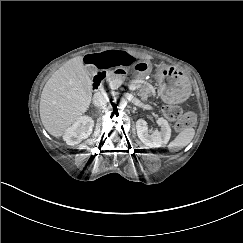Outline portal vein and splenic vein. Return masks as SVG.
Returning a JSON list of instances; mask_svg holds the SVG:
<instances>
[{"label":"portal vein and splenic vein","instance_id":"obj_1","mask_svg":"<svg viewBox=\"0 0 243 243\" xmlns=\"http://www.w3.org/2000/svg\"><path fill=\"white\" fill-rule=\"evenodd\" d=\"M122 82L118 80H113L109 83V86L112 90L118 89L121 86ZM136 85L135 84H130L129 89L130 90H136Z\"/></svg>","mask_w":243,"mask_h":243}]
</instances>
